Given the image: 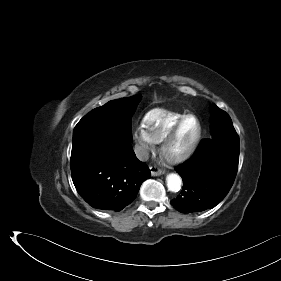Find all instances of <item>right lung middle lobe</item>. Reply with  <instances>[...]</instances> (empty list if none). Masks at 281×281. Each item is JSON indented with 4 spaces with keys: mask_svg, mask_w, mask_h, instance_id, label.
I'll list each match as a JSON object with an SVG mask.
<instances>
[{
    "mask_svg": "<svg viewBox=\"0 0 281 281\" xmlns=\"http://www.w3.org/2000/svg\"><path fill=\"white\" fill-rule=\"evenodd\" d=\"M141 98V95H134L130 98L112 100L93 109L75 126L72 145L113 136L130 140L131 118Z\"/></svg>",
    "mask_w": 281,
    "mask_h": 281,
    "instance_id": "right-lung-middle-lobe-1",
    "label": "right lung middle lobe"
}]
</instances>
